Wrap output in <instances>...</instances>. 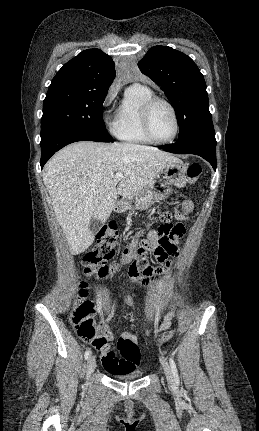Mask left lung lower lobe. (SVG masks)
I'll return each mask as SVG.
<instances>
[{
    "label": "left lung lower lobe",
    "instance_id": "left-lung-lower-lobe-1",
    "mask_svg": "<svg viewBox=\"0 0 259 431\" xmlns=\"http://www.w3.org/2000/svg\"><path fill=\"white\" fill-rule=\"evenodd\" d=\"M160 149L174 153L195 154L206 159L216 170V141L195 139L158 146Z\"/></svg>",
    "mask_w": 259,
    "mask_h": 431
}]
</instances>
